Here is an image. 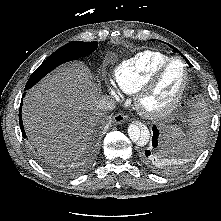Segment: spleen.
I'll use <instances>...</instances> for the list:
<instances>
[{"instance_id": "3e777b00", "label": "spleen", "mask_w": 221, "mask_h": 221, "mask_svg": "<svg viewBox=\"0 0 221 221\" xmlns=\"http://www.w3.org/2000/svg\"><path fill=\"white\" fill-rule=\"evenodd\" d=\"M170 131H171L170 141L176 146L182 145L185 134L179 128H176V127L175 128L172 127Z\"/></svg>"}]
</instances>
